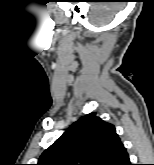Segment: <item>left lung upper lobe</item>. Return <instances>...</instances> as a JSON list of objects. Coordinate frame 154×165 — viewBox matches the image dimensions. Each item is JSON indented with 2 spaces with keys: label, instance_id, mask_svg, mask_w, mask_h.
<instances>
[{
  "label": "left lung upper lobe",
  "instance_id": "1",
  "mask_svg": "<svg viewBox=\"0 0 154 165\" xmlns=\"http://www.w3.org/2000/svg\"><path fill=\"white\" fill-rule=\"evenodd\" d=\"M122 147L114 125L90 113L46 149L37 165H114Z\"/></svg>",
  "mask_w": 154,
  "mask_h": 165
}]
</instances>
